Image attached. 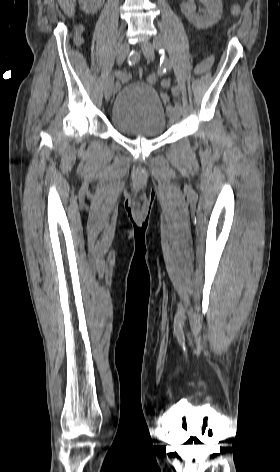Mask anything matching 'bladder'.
Here are the masks:
<instances>
[{"label":"bladder","instance_id":"obj_1","mask_svg":"<svg viewBox=\"0 0 280 472\" xmlns=\"http://www.w3.org/2000/svg\"><path fill=\"white\" fill-rule=\"evenodd\" d=\"M109 120L116 131L132 136L158 137L167 126V114L159 94L140 81L118 91Z\"/></svg>","mask_w":280,"mask_h":472}]
</instances>
